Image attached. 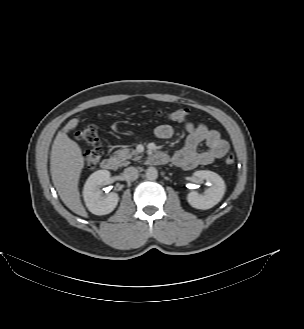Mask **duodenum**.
Segmentation results:
<instances>
[{
	"label": "duodenum",
	"instance_id": "duodenum-1",
	"mask_svg": "<svg viewBox=\"0 0 304 329\" xmlns=\"http://www.w3.org/2000/svg\"><path fill=\"white\" fill-rule=\"evenodd\" d=\"M149 162L151 164H164L168 163L169 159L164 153H157L150 158ZM101 166L105 170L115 171L118 167V162L113 156H107L102 160Z\"/></svg>",
	"mask_w": 304,
	"mask_h": 329
}]
</instances>
